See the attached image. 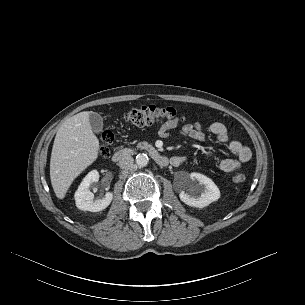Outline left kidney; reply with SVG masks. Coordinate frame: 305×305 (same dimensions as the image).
Segmentation results:
<instances>
[{"label":"left kidney","instance_id":"left-kidney-1","mask_svg":"<svg viewBox=\"0 0 305 305\" xmlns=\"http://www.w3.org/2000/svg\"><path fill=\"white\" fill-rule=\"evenodd\" d=\"M196 182L201 186L200 196H195L191 186ZM180 192L179 197L186 205L196 208H204L220 198V191L216 184L207 176L193 172L189 174V184Z\"/></svg>","mask_w":305,"mask_h":305}]
</instances>
